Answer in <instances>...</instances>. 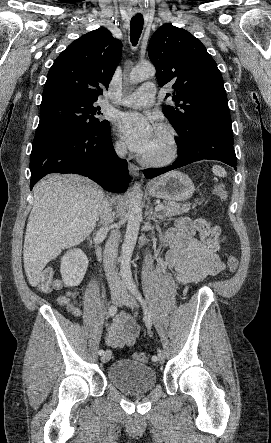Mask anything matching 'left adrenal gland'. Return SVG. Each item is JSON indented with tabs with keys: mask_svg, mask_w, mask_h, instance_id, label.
Returning <instances> with one entry per match:
<instances>
[{
	"mask_svg": "<svg viewBox=\"0 0 271 443\" xmlns=\"http://www.w3.org/2000/svg\"><path fill=\"white\" fill-rule=\"evenodd\" d=\"M150 212H152V206H151ZM152 218H158V220H162L163 216H158V214H154V216H152Z\"/></svg>",
	"mask_w": 271,
	"mask_h": 443,
	"instance_id": "1",
	"label": "left adrenal gland"
}]
</instances>
